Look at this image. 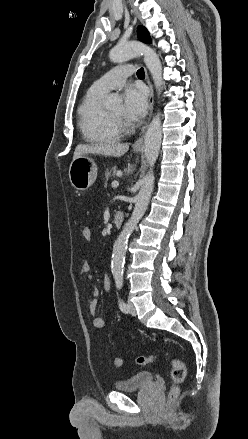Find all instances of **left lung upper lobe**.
Listing matches in <instances>:
<instances>
[{
  "mask_svg": "<svg viewBox=\"0 0 248 439\" xmlns=\"http://www.w3.org/2000/svg\"><path fill=\"white\" fill-rule=\"evenodd\" d=\"M137 32H138V39L140 41L145 43H151V38L149 36V33L144 27L139 26Z\"/></svg>",
  "mask_w": 248,
  "mask_h": 439,
  "instance_id": "1",
  "label": "left lung upper lobe"
}]
</instances>
